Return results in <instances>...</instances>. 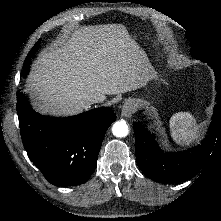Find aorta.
I'll list each match as a JSON object with an SVG mask.
<instances>
[{"label":"aorta","mask_w":221,"mask_h":221,"mask_svg":"<svg viewBox=\"0 0 221 221\" xmlns=\"http://www.w3.org/2000/svg\"><path fill=\"white\" fill-rule=\"evenodd\" d=\"M128 125L124 120L117 121L112 127V133L116 137H126L128 135Z\"/></svg>","instance_id":"obj_1"}]
</instances>
